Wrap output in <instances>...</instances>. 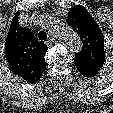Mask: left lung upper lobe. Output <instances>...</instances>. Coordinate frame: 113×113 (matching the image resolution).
<instances>
[{"label": "left lung upper lobe", "instance_id": "1", "mask_svg": "<svg viewBox=\"0 0 113 113\" xmlns=\"http://www.w3.org/2000/svg\"><path fill=\"white\" fill-rule=\"evenodd\" d=\"M67 22L83 42L82 50L75 56V66L98 72L105 62L101 29L82 5H76L69 11Z\"/></svg>", "mask_w": 113, "mask_h": 113}]
</instances>
